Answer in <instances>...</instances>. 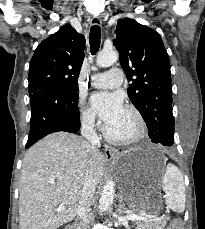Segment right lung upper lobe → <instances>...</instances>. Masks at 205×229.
Returning a JSON list of instances; mask_svg holds the SVG:
<instances>
[{"label":"right lung upper lobe","instance_id":"cb5924a9","mask_svg":"<svg viewBox=\"0 0 205 229\" xmlns=\"http://www.w3.org/2000/svg\"><path fill=\"white\" fill-rule=\"evenodd\" d=\"M84 49V36L77 33L70 24L62 26L43 40L30 62L29 95L49 87L78 85Z\"/></svg>","mask_w":205,"mask_h":229}]
</instances>
